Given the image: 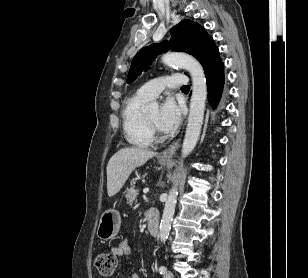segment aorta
I'll use <instances>...</instances> for the list:
<instances>
[{"instance_id":"aorta-1","label":"aorta","mask_w":308,"mask_h":278,"mask_svg":"<svg viewBox=\"0 0 308 278\" xmlns=\"http://www.w3.org/2000/svg\"><path fill=\"white\" fill-rule=\"evenodd\" d=\"M162 61L168 65H176L184 68L190 73L192 79L190 112L181 152L182 158H185L195 148L201 132L205 111V102L207 98L205 73L201 64L194 57L185 53H167L162 56ZM147 108L149 110H157L158 103L156 101L151 102ZM177 195L178 191L175 184L169 192L161 219L159 232L161 242H165L169 236Z\"/></svg>"}]
</instances>
